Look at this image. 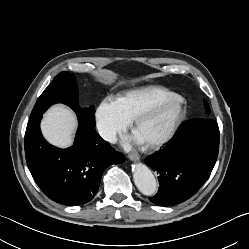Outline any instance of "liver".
I'll use <instances>...</instances> for the list:
<instances>
[{
	"mask_svg": "<svg viewBox=\"0 0 249 249\" xmlns=\"http://www.w3.org/2000/svg\"><path fill=\"white\" fill-rule=\"evenodd\" d=\"M76 128L75 114L63 105L52 106L41 122V130L46 140L61 148L72 145Z\"/></svg>",
	"mask_w": 249,
	"mask_h": 249,
	"instance_id": "6515ba94",
	"label": "liver"
}]
</instances>
